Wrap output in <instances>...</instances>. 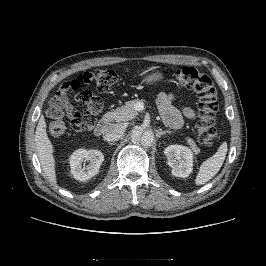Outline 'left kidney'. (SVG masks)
Returning <instances> with one entry per match:
<instances>
[{
	"mask_svg": "<svg viewBox=\"0 0 266 266\" xmlns=\"http://www.w3.org/2000/svg\"><path fill=\"white\" fill-rule=\"evenodd\" d=\"M164 154L167 157V165L172 168V175L185 178L192 172L193 153L182 145H170L165 148Z\"/></svg>",
	"mask_w": 266,
	"mask_h": 266,
	"instance_id": "5707ae66",
	"label": "left kidney"
}]
</instances>
